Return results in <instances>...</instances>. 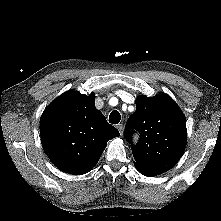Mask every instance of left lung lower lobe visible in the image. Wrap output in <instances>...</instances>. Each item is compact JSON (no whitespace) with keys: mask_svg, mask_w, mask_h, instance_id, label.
<instances>
[{"mask_svg":"<svg viewBox=\"0 0 221 221\" xmlns=\"http://www.w3.org/2000/svg\"><path fill=\"white\" fill-rule=\"evenodd\" d=\"M137 170H138L141 174H143V175H145V176H150V177H152V176H156V175H157V174H153V173H151V172L143 171V170H141V169H139V168H137Z\"/></svg>","mask_w":221,"mask_h":221,"instance_id":"1","label":"left lung lower lobe"}]
</instances>
